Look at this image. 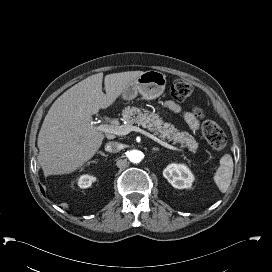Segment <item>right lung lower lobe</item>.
I'll return each instance as SVG.
<instances>
[{
    "instance_id": "obj_1",
    "label": "right lung lower lobe",
    "mask_w": 272,
    "mask_h": 272,
    "mask_svg": "<svg viewBox=\"0 0 272 272\" xmlns=\"http://www.w3.org/2000/svg\"><path fill=\"white\" fill-rule=\"evenodd\" d=\"M42 193H44L43 189L41 188Z\"/></svg>"
}]
</instances>
